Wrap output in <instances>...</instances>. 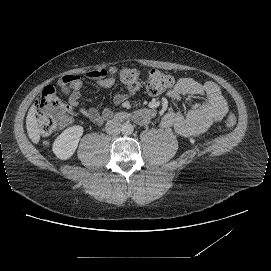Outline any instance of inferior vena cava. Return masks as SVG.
<instances>
[{
    "label": "inferior vena cava",
    "mask_w": 271,
    "mask_h": 271,
    "mask_svg": "<svg viewBox=\"0 0 271 271\" xmlns=\"http://www.w3.org/2000/svg\"><path fill=\"white\" fill-rule=\"evenodd\" d=\"M106 132L111 135H118L121 131V123L118 119L109 120L106 123Z\"/></svg>",
    "instance_id": "obj_1"
}]
</instances>
